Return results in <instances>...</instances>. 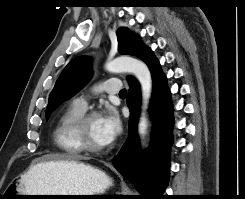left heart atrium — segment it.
<instances>
[{"instance_id": "left-heart-atrium-1", "label": "left heart atrium", "mask_w": 245, "mask_h": 199, "mask_svg": "<svg viewBox=\"0 0 245 199\" xmlns=\"http://www.w3.org/2000/svg\"><path fill=\"white\" fill-rule=\"evenodd\" d=\"M101 132L105 142L112 143L121 133L122 125L118 114L112 110H107L103 115L99 116Z\"/></svg>"}]
</instances>
